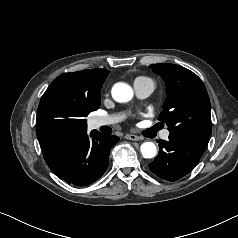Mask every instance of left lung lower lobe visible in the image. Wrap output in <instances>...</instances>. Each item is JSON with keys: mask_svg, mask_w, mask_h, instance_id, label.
I'll list each match as a JSON object with an SVG mask.
<instances>
[{"mask_svg": "<svg viewBox=\"0 0 238 238\" xmlns=\"http://www.w3.org/2000/svg\"><path fill=\"white\" fill-rule=\"evenodd\" d=\"M207 143L170 132L168 141H160L159 154L149 164V168L162 179L176 181L198 164Z\"/></svg>", "mask_w": 238, "mask_h": 238, "instance_id": "left-lung-lower-lobe-1", "label": "left lung lower lobe"}]
</instances>
